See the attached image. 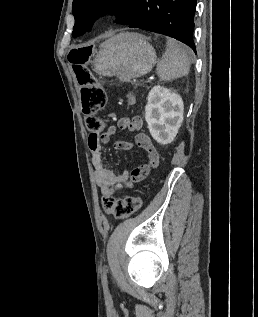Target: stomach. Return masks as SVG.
Instances as JSON below:
<instances>
[{
  "label": "stomach",
  "instance_id": "obj_1",
  "mask_svg": "<svg viewBox=\"0 0 258 317\" xmlns=\"http://www.w3.org/2000/svg\"><path fill=\"white\" fill-rule=\"evenodd\" d=\"M92 62L99 74H122L124 78H136L152 70L156 62V50L138 32H119L99 44Z\"/></svg>",
  "mask_w": 258,
  "mask_h": 317
}]
</instances>
